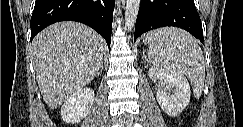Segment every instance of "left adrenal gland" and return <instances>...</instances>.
<instances>
[{"label": "left adrenal gland", "mask_w": 243, "mask_h": 127, "mask_svg": "<svg viewBox=\"0 0 243 127\" xmlns=\"http://www.w3.org/2000/svg\"><path fill=\"white\" fill-rule=\"evenodd\" d=\"M142 59H145V60H147V58H146V55H145V53L143 52V56H142Z\"/></svg>", "instance_id": "obj_1"}]
</instances>
